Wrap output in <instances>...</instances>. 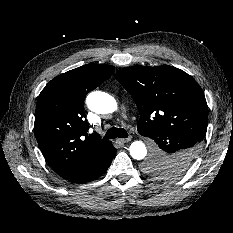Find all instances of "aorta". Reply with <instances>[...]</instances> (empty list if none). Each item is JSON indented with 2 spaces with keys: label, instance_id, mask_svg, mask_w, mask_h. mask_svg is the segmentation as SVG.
<instances>
[{
  "label": "aorta",
  "instance_id": "obj_1",
  "mask_svg": "<svg viewBox=\"0 0 233 233\" xmlns=\"http://www.w3.org/2000/svg\"><path fill=\"white\" fill-rule=\"evenodd\" d=\"M90 110L99 114H108L117 110L116 100L108 93L94 91L88 94L86 99ZM130 155L136 160H142L147 155V148L142 141H134L129 148Z\"/></svg>",
  "mask_w": 233,
  "mask_h": 233
}]
</instances>
